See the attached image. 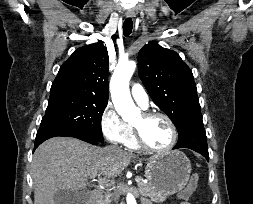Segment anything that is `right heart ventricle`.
<instances>
[{"label":"right heart ventricle","mask_w":253,"mask_h":204,"mask_svg":"<svg viewBox=\"0 0 253 204\" xmlns=\"http://www.w3.org/2000/svg\"><path fill=\"white\" fill-rule=\"evenodd\" d=\"M130 128H131L130 135L124 144L128 149L137 151L140 149V146L138 145V143L136 141L134 131L131 126H130Z\"/></svg>","instance_id":"1"}]
</instances>
